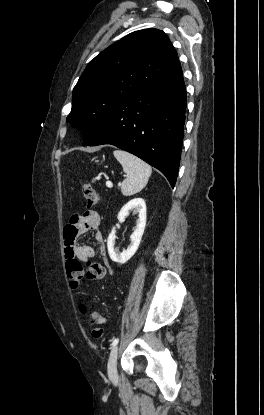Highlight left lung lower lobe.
<instances>
[{
  "label": "left lung lower lobe",
  "mask_w": 264,
  "mask_h": 415,
  "mask_svg": "<svg viewBox=\"0 0 264 415\" xmlns=\"http://www.w3.org/2000/svg\"><path fill=\"white\" fill-rule=\"evenodd\" d=\"M186 88L180 65L124 101L84 142L111 144L160 170L172 187L178 175Z\"/></svg>",
  "instance_id": "obj_1"
}]
</instances>
